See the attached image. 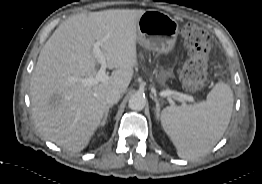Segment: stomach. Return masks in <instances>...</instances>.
<instances>
[{"instance_id": "obj_1", "label": "stomach", "mask_w": 262, "mask_h": 184, "mask_svg": "<svg viewBox=\"0 0 262 184\" xmlns=\"http://www.w3.org/2000/svg\"><path fill=\"white\" fill-rule=\"evenodd\" d=\"M178 22L167 13L157 10L145 11L137 22V42L145 48L159 52H170L176 43ZM162 80L173 76L170 68L160 70Z\"/></svg>"}]
</instances>
